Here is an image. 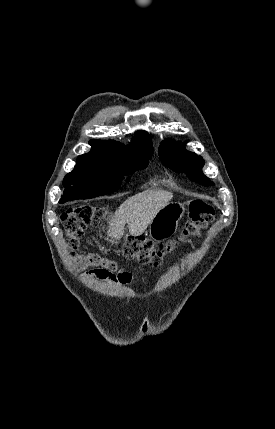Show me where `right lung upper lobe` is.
I'll list each match as a JSON object with an SVG mask.
<instances>
[{"label":"right lung upper lobe","instance_id":"obj_1","mask_svg":"<svg viewBox=\"0 0 275 429\" xmlns=\"http://www.w3.org/2000/svg\"><path fill=\"white\" fill-rule=\"evenodd\" d=\"M92 151L77 158V163H109L123 156H152L153 146L150 136L145 131L135 133L131 145L127 147L109 140H91ZM61 203V202H60Z\"/></svg>","mask_w":275,"mask_h":429}]
</instances>
